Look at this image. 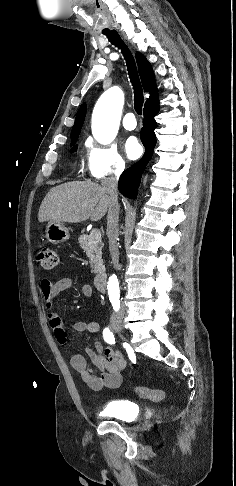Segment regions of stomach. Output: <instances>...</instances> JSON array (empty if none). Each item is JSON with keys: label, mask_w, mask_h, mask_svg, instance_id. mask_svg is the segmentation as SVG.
<instances>
[{"label": "stomach", "mask_w": 236, "mask_h": 486, "mask_svg": "<svg viewBox=\"0 0 236 486\" xmlns=\"http://www.w3.org/2000/svg\"><path fill=\"white\" fill-rule=\"evenodd\" d=\"M46 238L53 244H59L69 239V230L61 223L49 221L45 229Z\"/></svg>", "instance_id": "obj_1"}]
</instances>
